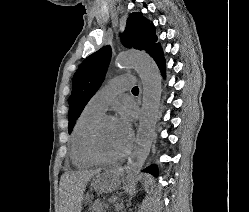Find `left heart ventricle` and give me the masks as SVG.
Here are the masks:
<instances>
[{
    "mask_svg": "<svg viewBox=\"0 0 249 212\" xmlns=\"http://www.w3.org/2000/svg\"><path fill=\"white\" fill-rule=\"evenodd\" d=\"M96 148L105 158H114L126 150L115 120H107L100 126L96 135Z\"/></svg>",
    "mask_w": 249,
    "mask_h": 212,
    "instance_id": "b2bd125f",
    "label": "left heart ventricle"
}]
</instances>
